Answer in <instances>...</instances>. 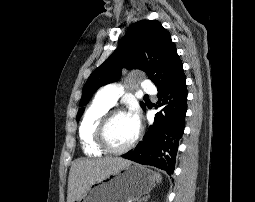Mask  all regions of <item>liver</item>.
I'll use <instances>...</instances> for the list:
<instances>
[{
    "mask_svg": "<svg viewBox=\"0 0 255 202\" xmlns=\"http://www.w3.org/2000/svg\"><path fill=\"white\" fill-rule=\"evenodd\" d=\"M130 164V161L120 157L78 159L74 161L68 177L67 202L76 201L90 185Z\"/></svg>",
    "mask_w": 255,
    "mask_h": 202,
    "instance_id": "6515ba94",
    "label": "liver"
}]
</instances>
